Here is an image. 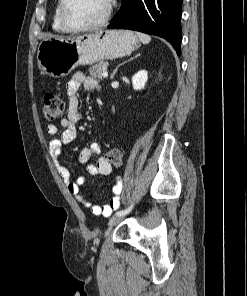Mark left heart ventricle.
I'll use <instances>...</instances> for the list:
<instances>
[{
	"label": "left heart ventricle",
	"mask_w": 247,
	"mask_h": 296,
	"mask_svg": "<svg viewBox=\"0 0 247 296\" xmlns=\"http://www.w3.org/2000/svg\"><path fill=\"white\" fill-rule=\"evenodd\" d=\"M107 10V0H70L67 16L76 26H86L100 21Z\"/></svg>",
	"instance_id": "left-heart-ventricle-1"
}]
</instances>
